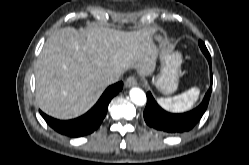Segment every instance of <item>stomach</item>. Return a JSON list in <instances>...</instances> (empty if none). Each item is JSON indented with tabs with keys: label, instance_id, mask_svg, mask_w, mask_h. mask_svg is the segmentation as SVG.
Segmentation results:
<instances>
[{
	"label": "stomach",
	"instance_id": "0dacf381",
	"mask_svg": "<svg viewBox=\"0 0 249 165\" xmlns=\"http://www.w3.org/2000/svg\"><path fill=\"white\" fill-rule=\"evenodd\" d=\"M155 38L160 42L161 70L160 74L154 80V84L163 94L168 95L175 92L178 88L182 55L180 52L168 50L161 43L160 36H156Z\"/></svg>",
	"mask_w": 249,
	"mask_h": 165
}]
</instances>
